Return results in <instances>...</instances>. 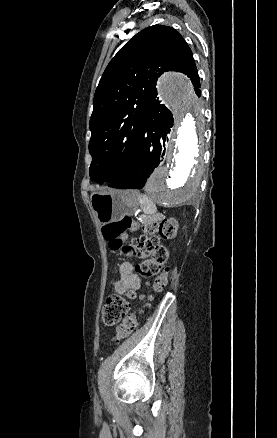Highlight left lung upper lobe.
<instances>
[{
    "mask_svg": "<svg viewBox=\"0 0 277 438\" xmlns=\"http://www.w3.org/2000/svg\"><path fill=\"white\" fill-rule=\"evenodd\" d=\"M165 71L186 74L200 95L191 49L169 26L143 29L110 61L95 91L90 118L92 180L110 185L123 174L134 154L144 111L157 96V78Z\"/></svg>",
    "mask_w": 277,
    "mask_h": 438,
    "instance_id": "left-lung-upper-lobe-1",
    "label": "left lung upper lobe"
}]
</instances>
